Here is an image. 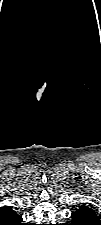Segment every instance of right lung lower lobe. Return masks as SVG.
<instances>
[{
  "mask_svg": "<svg viewBox=\"0 0 101 225\" xmlns=\"http://www.w3.org/2000/svg\"><path fill=\"white\" fill-rule=\"evenodd\" d=\"M15 225H26L22 223V218L20 217L19 221Z\"/></svg>",
  "mask_w": 101,
  "mask_h": 225,
  "instance_id": "1",
  "label": "right lung lower lobe"
}]
</instances>
